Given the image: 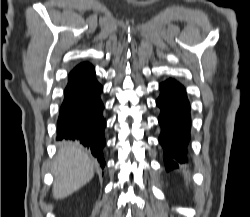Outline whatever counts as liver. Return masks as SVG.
<instances>
[{"mask_svg": "<svg viewBox=\"0 0 250 217\" xmlns=\"http://www.w3.org/2000/svg\"><path fill=\"white\" fill-rule=\"evenodd\" d=\"M55 176L53 197L65 198L86 183L94 176V164L77 144L72 142L59 143V150L53 165Z\"/></svg>", "mask_w": 250, "mask_h": 217, "instance_id": "6515ba94", "label": "liver"}]
</instances>
